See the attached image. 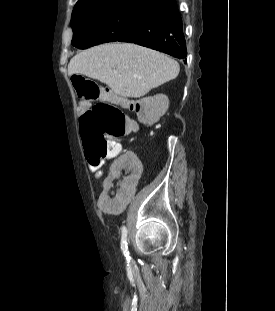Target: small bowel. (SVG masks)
Returning <instances> with one entry per match:
<instances>
[{"label":"small bowel","mask_w":275,"mask_h":311,"mask_svg":"<svg viewBox=\"0 0 275 311\" xmlns=\"http://www.w3.org/2000/svg\"><path fill=\"white\" fill-rule=\"evenodd\" d=\"M89 106L90 102L80 101L78 113L81 115ZM137 156V150H121L117 160H112L109 175L101 185V200L97 206V213H103L104 216H119L120 213L124 212V207L135 194L138 180L141 178L143 162L137 160ZM104 165L103 160L88 158V169L97 180L103 175ZM120 171L125 172L120 173ZM120 180L126 181L122 182L116 191V185L120 184Z\"/></svg>","instance_id":"c3829d8e"}]
</instances>
